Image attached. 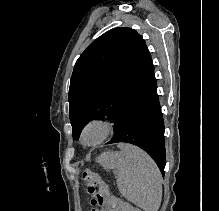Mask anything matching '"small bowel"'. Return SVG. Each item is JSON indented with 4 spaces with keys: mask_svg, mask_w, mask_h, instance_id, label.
<instances>
[{
    "mask_svg": "<svg viewBox=\"0 0 219 211\" xmlns=\"http://www.w3.org/2000/svg\"><path fill=\"white\" fill-rule=\"evenodd\" d=\"M99 206H100V209H98L97 211H110V205L108 202L106 201H99Z\"/></svg>",
    "mask_w": 219,
    "mask_h": 211,
    "instance_id": "small-bowel-1",
    "label": "small bowel"
}]
</instances>
